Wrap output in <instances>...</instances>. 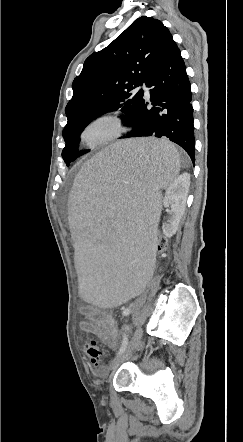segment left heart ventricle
I'll use <instances>...</instances> for the list:
<instances>
[{"label": "left heart ventricle", "mask_w": 243, "mask_h": 442, "mask_svg": "<svg viewBox=\"0 0 243 442\" xmlns=\"http://www.w3.org/2000/svg\"><path fill=\"white\" fill-rule=\"evenodd\" d=\"M113 131V125L110 122H99L91 127L85 133V140L89 143L99 141L108 136Z\"/></svg>", "instance_id": "1"}]
</instances>
